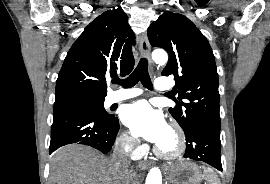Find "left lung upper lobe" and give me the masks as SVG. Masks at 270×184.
<instances>
[{
	"label": "left lung upper lobe",
	"instance_id": "5c2ea615",
	"mask_svg": "<svg viewBox=\"0 0 270 184\" xmlns=\"http://www.w3.org/2000/svg\"><path fill=\"white\" fill-rule=\"evenodd\" d=\"M148 38L169 54L162 75H174L173 90L184 100L169 112L185 134L197 126L220 130L218 74L206 37L187 17L166 11L150 25Z\"/></svg>",
	"mask_w": 270,
	"mask_h": 184
}]
</instances>
